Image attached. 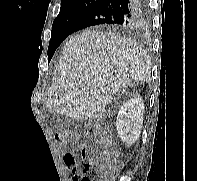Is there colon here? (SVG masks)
Here are the masks:
<instances>
[{
  "label": "colon",
  "mask_w": 197,
  "mask_h": 181,
  "mask_svg": "<svg viewBox=\"0 0 197 181\" xmlns=\"http://www.w3.org/2000/svg\"><path fill=\"white\" fill-rule=\"evenodd\" d=\"M87 133L95 135V129L89 127ZM58 138H63V134H58ZM83 171L78 181H111L118 169V160L113 149H106L90 155L88 151L81 153Z\"/></svg>",
  "instance_id": "obj_1"
}]
</instances>
